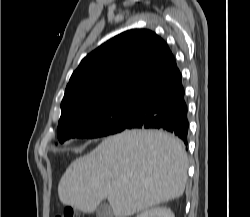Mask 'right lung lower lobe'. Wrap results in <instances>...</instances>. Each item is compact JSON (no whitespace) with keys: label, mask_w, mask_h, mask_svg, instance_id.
I'll return each instance as SVG.
<instances>
[{"label":"right lung lower lobe","mask_w":250,"mask_h":217,"mask_svg":"<svg viewBox=\"0 0 250 217\" xmlns=\"http://www.w3.org/2000/svg\"><path fill=\"white\" fill-rule=\"evenodd\" d=\"M135 100L136 109L126 129H163L175 134L187 145L188 109L178 68L166 80Z\"/></svg>","instance_id":"right-lung-lower-lobe-1"}]
</instances>
